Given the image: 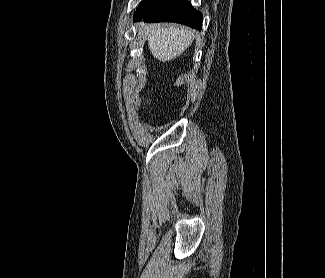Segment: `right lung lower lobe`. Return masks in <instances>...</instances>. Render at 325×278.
Wrapping results in <instances>:
<instances>
[{
	"mask_svg": "<svg viewBox=\"0 0 325 278\" xmlns=\"http://www.w3.org/2000/svg\"><path fill=\"white\" fill-rule=\"evenodd\" d=\"M175 22L200 30L202 14L183 0H143L134 14V21Z\"/></svg>",
	"mask_w": 325,
	"mask_h": 278,
	"instance_id": "right-lung-lower-lobe-1",
	"label": "right lung lower lobe"
}]
</instances>
